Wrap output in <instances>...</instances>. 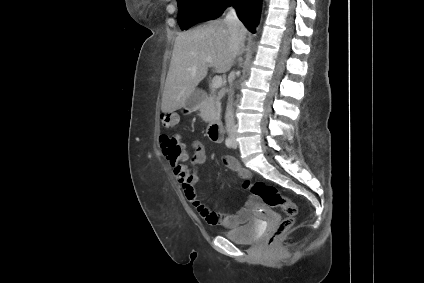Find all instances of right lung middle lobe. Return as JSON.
I'll use <instances>...</instances> for the list:
<instances>
[{"label": "right lung middle lobe", "instance_id": "dd1d6c3e", "mask_svg": "<svg viewBox=\"0 0 424 283\" xmlns=\"http://www.w3.org/2000/svg\"><path fill=\"white\" fill-rule=\"evenodd\" d=\"M178 24L182 30L213 20L221 16L225 7L233 0H177Z\"/></svg>", "mask_w": 424, "mask_h": 283}]
</instances>
